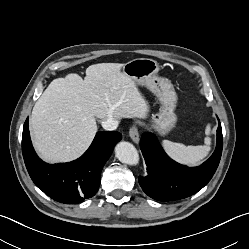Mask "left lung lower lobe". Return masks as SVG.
Wrapping results in <instances>:
<instances>
[{
  "mask_svg": "<svg viewBox=\"0 0 249 249\" xmlns=\"http://www.w3.org/2000/svg\"><path fill=\"white\" fill-rule=\"evenodd\" d=\"M221 124L217 129V145L212 156L199 167L189 168L170 159L156 137L146 133L140 148L147 165L146 177H139L143 191L159 201L183 199L197 193L214 175L222 154Z\"/></svg>",
  "mask_w": 249,
  "mask_h": 249,
  "instance_id": "0a47b994",
  "label": "left lung lower lobe"
}]
</instances>
